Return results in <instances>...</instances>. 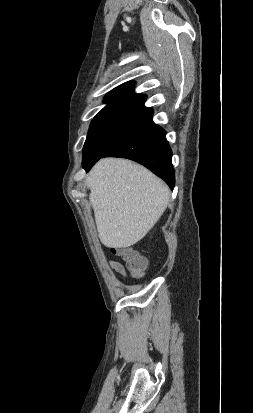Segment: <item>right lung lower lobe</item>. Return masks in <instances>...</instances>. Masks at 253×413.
Returning a JSON list of instances; mask_svg holds the SVG:
<instances>
[{"mask_svg": "<svg viewBox=\"0 0 253 413\" xmlns=\"http://www.w3.org/2000/svg\"><path fill=\"white\" fill-rule=\"evenodd\" d=\"M165 130L150 118L141 128L116 144L102 157H122L136 161L162 178L171 189L175 185L172 151ZM99 158V159H100ZM99 159L83 165L88 172Z\"/></svg>", "mask_w": 253, "mask_h": 413, "instance_id": "98d812e1", "label": "right lung lower lobe"}]
</instances>
